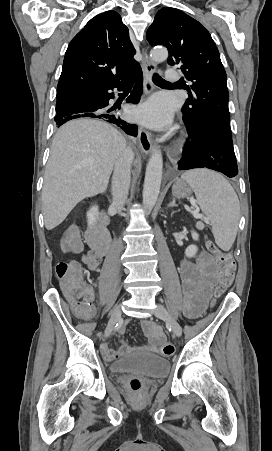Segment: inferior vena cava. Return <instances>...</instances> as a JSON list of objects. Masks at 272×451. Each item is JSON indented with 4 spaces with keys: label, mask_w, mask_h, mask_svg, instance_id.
<instances>
[{
    "label": "inferior vena cava",
    "mask_w": 272,
    "mask_h": 451,
    "mask_svg": "<svg viewBox=\"0 0 272 451\" xmlns=\"http://www.w3.org/2000/svg\"><path fill=\"white\" fill-rule=\"evenodd\" d=\"M134 158L133 152L126 148L123 154L119 156L115 162L113 178H112V208L115 210H122L125 200L128 196L130 186V166Z\"/></svg>",
    "instance_id": "obj_1"
}]
</instances>
